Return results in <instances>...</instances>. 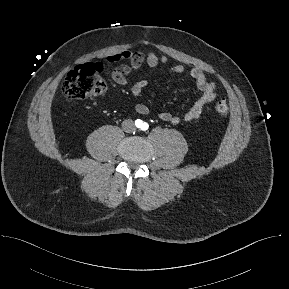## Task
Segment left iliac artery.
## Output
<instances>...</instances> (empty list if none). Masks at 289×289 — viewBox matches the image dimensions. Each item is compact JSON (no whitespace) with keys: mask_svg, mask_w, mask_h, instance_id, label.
Returning <instances> with one entry per match:
<instances>
[{"mask_svg":"<svg viewBox=\"0 0 289 289\" xmlns=\"http://www.w3.org/2000/svg\"><path fill=\"white\" fill-rule=\"evenodd\" d=\"M147 129H148V124L147 123H143L142 130H147Z\"/></svg>","mask_w":289,"mask_h":289,"instance_id":"44dca946","label":"left iliac artery"}]
</instances>
